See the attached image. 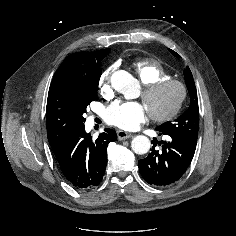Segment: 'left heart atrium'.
<instances>
[{"instance_id": "1", "label": "left heart atrium", "mask_w": 236, "mask_h": 236, "mask_svg": "<svg viewBox=\"0 0 236 236\" xmlns=\"http://www.w3.org/2000/svg\"><path fill=\"white\" fill-rule=\"evenodd\" d=\"M147 107L138 102H116L106 115L107 122L124 130H135L147 119Z\"/></svg>"}]
</instances>
